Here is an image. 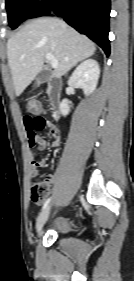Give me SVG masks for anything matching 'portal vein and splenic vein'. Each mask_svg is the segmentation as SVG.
I'll use <instances>...</instances> for the list:
<instances>
[{"instance_id": "1", "label": "portal vein and splenic vein", "mask_w": 134, "mask_h": 281, "mask_svg": "<svg viewBox=\"0 0 134 281\" xmlns=\"http://www.w3.org/2000/svg\"><path fill=\"white\" fill-rule=\"evenodd\" d=\"M46 59L50 62L52 68L56 69L58 67V60L51 53L46 55Z\"/></svg>"}]
</instances>
